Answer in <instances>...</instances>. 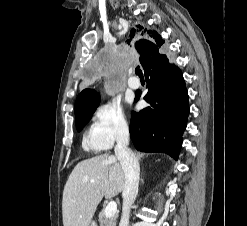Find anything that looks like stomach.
I'll use <instances>...</instances> for the list:
<instances>
[{
	"label": "stomach",
	"instance_id": "0dacf381",
	"mask_svg": "<svg viewBox=\"0 0 247 226\" xmlns=\"http://www.w3.org/2000/svg\"><path fill=\"white\" fill-rule=\"evenodd\" d=\"M90 226H95V224H94V223H92Z\"/></svg>",
	"mask_w": 247,
	"mask_h": 226
}]
</instances>
